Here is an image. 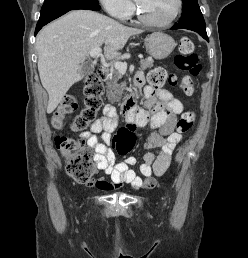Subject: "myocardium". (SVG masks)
Wrapping results in <instances>:
<instances>
[{"label":"myocardium","instance_id":"myocardium-1","mask_svg":"<svg viewBox=\"0 0 248 258\" xmlns=\"http://www.w3.org/2000/svg\"><path fill=\"white\" fill-rule=\"evenodd\" d=\"M182 7H183V1L177 0V7H176L175 13L172 15V17L164 22H156V21L150 20L149 18H147L144 15L142 10L138 6L136 0H135V4H134L135 13H136L138 20L149 27H156V28H163V27H168V26L172 25L175 22V20L179 17V15L182 11Z\"/></svg>","mask_w":248,"mask_h":258}]
</instances>
